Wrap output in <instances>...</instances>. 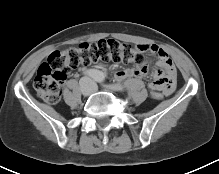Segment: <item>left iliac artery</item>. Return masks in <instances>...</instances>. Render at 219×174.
<instances>
[{"label": "left iliac artery", "instance_id": "obj_1", "mask_svg": "<svg viewBox=\"0 0 219 174\" xmlns=\"http://www.w3.org/2000/svg\"><path fill=\"white\" fill-rule=\"evenodd\" d=\"M95 80L97 82H103L104 81V75L101 72H98ZM113 89L118 90V91H123L124 90V86L122 84H112L110 85Z\"/></svg>", "mask_w": 219, "mask_h": 174}]
</instances>
